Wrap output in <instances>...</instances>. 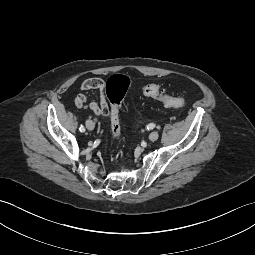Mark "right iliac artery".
Instances as JSON below:
<instances>
[{"label":"right iliac artery","instance_id":"right-iliac-artery-1","mask_svg":"<svg viewBox=\"0 0 255 255\" xmlns=\"http://www.w3.org/2000/svg\"><path fill=\"white\" fill-rule=\"evenodd\" d=\"M79 130H80V132H85V127L83 125H81Z\"/></svg>","mask_w":255,"mask_h":255}]
</instances>
